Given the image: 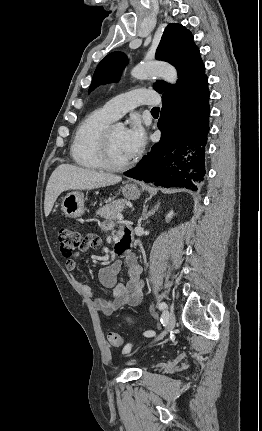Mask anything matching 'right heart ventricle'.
<instances>
[{"label":"right heart ventricle","instance_id":"right-heart-ventricle-1","mask_svg":"<svg viewBox=\"0 0 262 431\" xmlns=\"http://www.w3.org/2000/svg\"><path fill=\"white\" fill-rule=\"evenodd\" d=\"M113 120L102 107L88 114L80 123L71 145V156L78 166L88 170L104 168L101 140L103 132Z\"/></svg>","mask_w":262,"mask_h":431}]
</instances>
